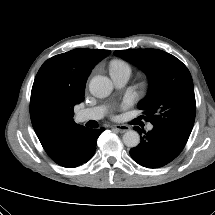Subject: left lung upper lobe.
Returning a JSON list of instances; mask_svg holds the SVG:
<instances>
[{
  "label": "left lung upper lobe",
  "mask_w": 215,
  "mask_h": 215,
  "mask_svg": "<svg viewBox=\"0 0 215 215\" xmlns=\"http://www.w3.org/2000/svg\"><path fill=\"white\" fill-rule=\"evenodd\" d=\"M149 78L147 96L138 104L153 125L187 141L193 128L196 103L191 74L173 55L157 49L116 50Z\"/></svg>",
  "instance_id": "1"
}]
</instances>
